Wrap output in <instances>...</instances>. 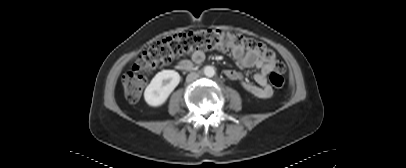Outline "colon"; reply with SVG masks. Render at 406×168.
Returning a JSON list of instances; mask_svg holds the SVG:
<instances>
[{"mask_svg":"<svg viewBox=\"0 0 406 168\" xmlns=\"http://www.w3.org/2000/svg\"><path fill=\"white\" fill-rule=\"evenodd\" d=\"M215 48L230 52L238 50L257 52L266 62H274V69L269 73L271 85L277 89L284 85L283 63L275 60L274 52L265 44L242 34L221 29H198L166 37L144 51L132 70L123 76L126 98L130 102H136L140 98L146 83L145 73L168 65L175 58L185 54Z\"/></svg>","mask_w":406,"mask_h":168,"instance_id":"5ec220e1","label":"colon"}]
</instances>
